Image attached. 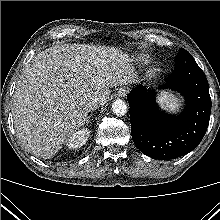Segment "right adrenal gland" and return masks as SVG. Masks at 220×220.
Listing matches in <instances>:
<instances>
[{
    "instance_id": "obj_1",
    "label": "right adrenal gland",
    "mask_w": 220,
    "mask_h": 220,
    "mask_svg": "<svg viewBox=\"0 0 220 220\" xmlns=\"http://www.w3.org/2000/svg\"><path fill=\"white\" fill-rule=\"evenodd\" d=\"M91 116H92V114H90L88 117H87V120H86V125H88L89 123H90V121H91Z\"/></svg>"
}]
</instances>
